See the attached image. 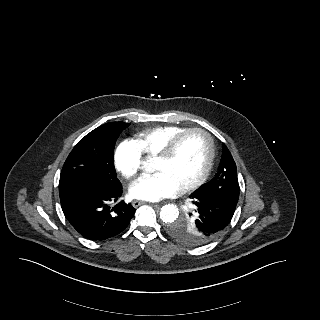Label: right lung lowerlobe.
I'll list each match as a JSON object with an SVG mask.
<instances>
[{
  "label": "right lung lower lobe",
  "mask_w": 320,
  "mask_h": 320,
  "mask_svg": "<svg viewBox=\"0 0 320 320\" xmlns=\"http://www.w3.org/2000/svg\"><path fill=\"white\" fill-rule=\"evenodd\" d=\"M121 183L108 188H66L59 190L63 213L74 229L83 237L102 241L126 229L136 209L129 203L119 202Z\"/></svg>",
  "instance_id": "1"
}]
</instances>
